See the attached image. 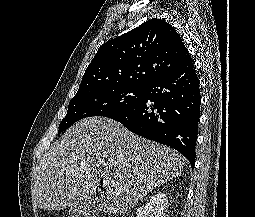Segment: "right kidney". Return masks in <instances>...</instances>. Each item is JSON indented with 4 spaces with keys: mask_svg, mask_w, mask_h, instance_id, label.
<instances>
[{
    "mask_svg": "<svg viewBox=\"0 0 255 217\" xmlns=\"http://www.w3.org/2000/svg\"><path fill=\"white\" fill-rule=\"evenodd\" d=\"M168 200L165 193L157 192L145 205L137 209V217H165Z\"/></svg>",
    "mask_w": 255,
    "mask_h": 217,
    "instance_id": "obj_1",
    "label": "right kidney"
}]
</instances>
